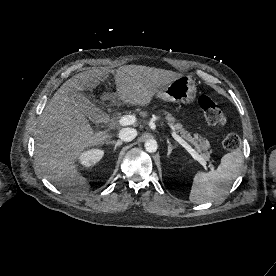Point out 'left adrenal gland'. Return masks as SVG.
Wrapping results in <instances>:
<instances>
[{
	"instance_id": "1",
	"label": "left adrenal gland",
	"mask_w": 276,
	"mask_h": 276,
	"mask_svg": "<svg viewBox=\"0 0 276 276\" xmlns=\"http://www.w3.org/2000/svg\"><path fill=\"white\" fill-rule=\"evenodd\" d=\"M167 143H168V153L167 156H170L172 153V150L175 149V146H172L169 139H167Z\"/></svg>"
}]
</instances>
